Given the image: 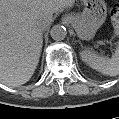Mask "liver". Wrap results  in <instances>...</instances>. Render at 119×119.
<instances>
[{
	"mask_svg": "<svg viewBox=\"0 0 119 119\" xmlns=\"http://www.w3.org/2000/svg\"><path fill=\"white\" fill-rule=\"evenodd\" d=\"M74 0H0V82L17 87L33 76L42 51L38 26Z\"/></svg>",
	"mask_w": 119,
	"mask_h": 119,
	"instance_id": "liver-1",
	"label": "liver"
}]
</instances>
